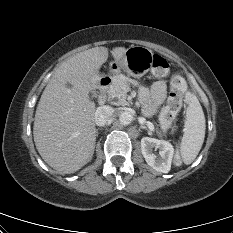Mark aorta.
<instances>
[{"instance_id": "obj_1", "label": "aorta", "mask_w": 233, "mask_h": 233, "mask_svg": "<svg viewBox=\"0 0 233 233\" xmlns=\"http://www.w3.org/2000/svg\"><path fill=\"white\" fill-rule=\"evenodd\" d=\"M133 121V115L129 111H123L119 115V122L121 125H129Z\"/></svg>"}]
</instances>
